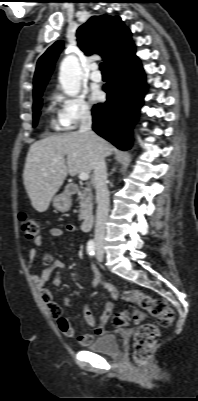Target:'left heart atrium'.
I'll use <instances>...</instances> for the list:
<instances>
[{
  "instance_id": "left-heart-atrium-1",
  "label": "left heart atrium",
  "mask_w": 198,
  "mask_h": 401,
  "mask_svg": "<svg viewBox=\"0 0 198 401\" xmlns=\"http://www.w3.org/2000/svg\"><path fill=\"white\" fill-rule=\"evenodd\" d=\"M102 98V92L99 89L93 90L91 94V100L94 102L100 101Z\"/></svg>"
}]
</instances>
